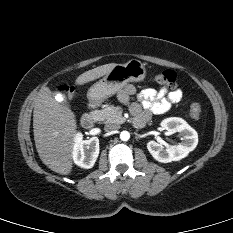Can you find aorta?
<instances>
[{
	"label": "aorta",
	"instance_id": "aorta-1",
	"mask_svg": "<svg viewBox=\"0 0 233 233\" xmlns=\"http://www.w3.org/2000/svg\"><path fill=\"white\" fill-rule=\"evenodd\" d=\"M129 138H130V133L128 131H122L120 133V139L122 141H127V140H129Z\"/></svg>",
	"mask_w": 233,
	"mask_h": 233
}]
</instances>
